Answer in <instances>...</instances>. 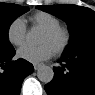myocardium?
<instances>
[{"instance_id": "1", "label": "myocardium", "mask_w": 95, "mask_h": 95, "mask_svg": "<svg viewBox=\"0 0 95 95\" xmlns=\"http://www.w3.org/2000/svg\"><path fill=\"white\" fill-rule=\"evenodd\" d=\"M44 33L52 39L58 37L62 38L61 43L53 50L55 55H61L68 49L71 43V33L67 28L58 26L52 29L44 30Z\"/></svg>"}]
</instances>
